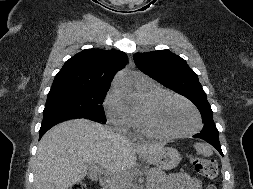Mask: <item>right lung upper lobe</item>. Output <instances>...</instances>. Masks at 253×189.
Returning a JSON list of instances; mask_svg holds the SVG:
<instances>
[{"label": "right lung upper lobe", "instance_id": "right-lung-upper-lobe-1", "mask_svg": "<svg viewBox=\"0 0 253 189\" xmlns=\"http://www.w3.org/2000/svg\"><path fill=\"white\" fill-rule=\"evenodd\" d=\"M127 55L118 50L87 49L65 62L55 76L52 88L110 87L114 74L127 63Z\"/></svg>", "mask_w": 253, "mask_h": 189}]
</instances>
